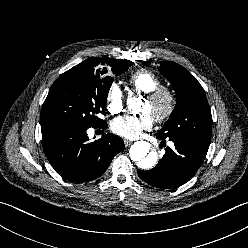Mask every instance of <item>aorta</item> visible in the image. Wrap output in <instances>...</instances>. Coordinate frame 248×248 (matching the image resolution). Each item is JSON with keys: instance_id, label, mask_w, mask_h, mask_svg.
Here are the masks:
<instances>
[{"instance_id": "762f6f07", "label": "aorta", "mask_w": 248, "mask_h": 248, "mask_svg": "<svg viewBox=\"0 0 248 248\" xmlns=\"http://www.w3.org/2000/svg\"><path fill=\"white\" fill-rule=\"evenodd\" d=\"M139 102L138 98H128L127 105L131 110H135ZM151 145L147 141L135 142L129 151L130 158L137 162V166L142 169L153 168L158 161V154L154 151H150Z\"/></svg>"}]
</instances>
